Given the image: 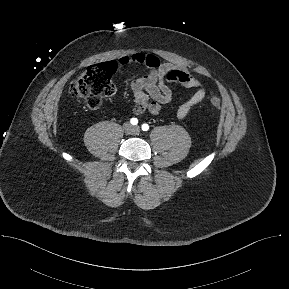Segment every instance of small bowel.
<instances>
[{
  "instance_id": "c3829d8e",
  "label": "small bowel",
  "mask_w": 289,
  "mask_h": 289,
  "mask_svg": "<svg viewBox=\"0 0 289 289\" xmlns=\"http://www.w3.org/2000/svg\"><path fill=\"white\" fill-rule=\"evenodd\" d=\"M120 66L131 64L143 65L148 73L134 79L130 88L134 96L133 113L141 115L148 111L159 115L172 100L170 85L178 83L185 88L195 89V92L176 109V117L184 119L206 96L205 85L188 69L176 67L170 63H162L156 56L143 52L123 55L119 58Z\"/></svg>"
}]
</instances>
